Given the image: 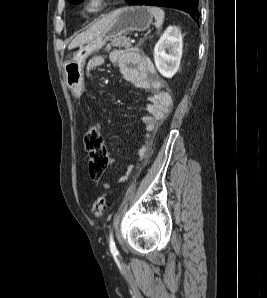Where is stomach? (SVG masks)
Returning a JSON list of instances; mask_svg holds the SVG:
<instances>
[{
	"mask_svg": "<svg viewBox=\"0 0 267 298\" xmlns=\"http://www.w3.org/2000/svg\"><path fill=\"white\" fill-rule=\"evenodd\" d=\"M108 29L74 52L64 63L65 80L71 92L80 96L84 90L83 76L86 58L101 49L113 38L129 31H145L153 20V14L145 6H132L118 9Z\"/></svg>",
	"mask_w": 267,
	"mask_h": 298,
	"instance_id": "obj_1",
	"label": "stomach"
}]
</instances>
